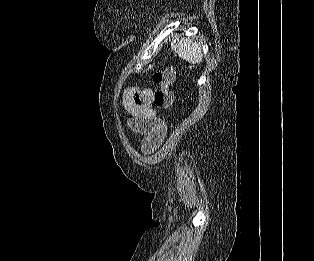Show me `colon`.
<instances>
[{"instance_id":"colon-1","label":"colon","mask_w":314,"mask_h":261,"mask_svg":"<svg viewBox=\"0 0 314 261\" xmlns=\"http://www.w3.org/2000/svg\"><path fill=\"white\" fill-rule=\"evenodd\" d=\"M175 80V71L172 67H165L156 70L153 74V82L157 85V90L153 95L155 106L161 110H168L173 102L171 85Z\"/></svg>"}]
</instances>
